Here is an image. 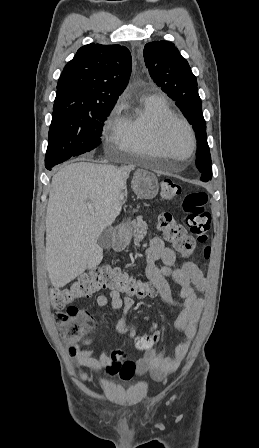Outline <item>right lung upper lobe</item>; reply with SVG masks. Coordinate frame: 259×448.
<instances>
[{"label": "right lung upper lobe", "mask_w": 259, "mask_h": 448, "mask_svg": "<svg viewBox=\"0 0 259 448\" xmlns=\"http://www.w3.org/2000/svg\"><path fill=\"white\" fill-rule=\"evenodd\" d=\"M131 67V54L124 46L81 47L59 78L53 113L113 107L129 81Z\"/></svg>", "instance_id": "1"}]
</instances>
